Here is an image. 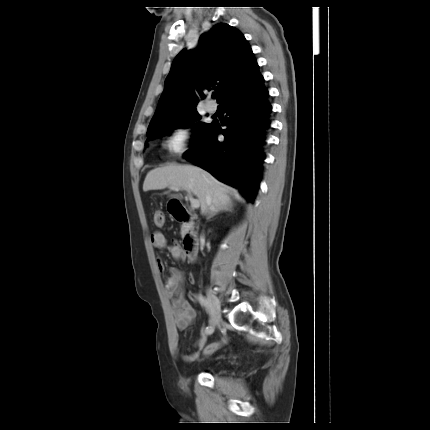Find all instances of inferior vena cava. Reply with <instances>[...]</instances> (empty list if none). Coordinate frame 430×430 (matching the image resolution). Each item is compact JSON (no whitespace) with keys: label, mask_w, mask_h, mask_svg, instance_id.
Here are the masks:
<instances>
[{"label":"inferior vena cava","mask_w":430,"mask_h":430,"mask_svg":"<svg viewBox=\"0 0 430 430\" xmlns=\"http://www.w3.org/2000/svg\"><path fill=\"white\" fill-rule=\"evenodd\" d=\"M210 200H211V199H210V196L208 195V196H207V203H210Z\"/></svg>","instance_id":"602c4592"}]
</instances>
